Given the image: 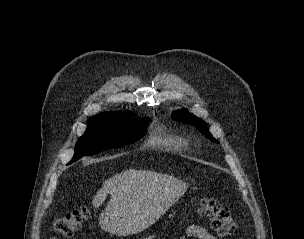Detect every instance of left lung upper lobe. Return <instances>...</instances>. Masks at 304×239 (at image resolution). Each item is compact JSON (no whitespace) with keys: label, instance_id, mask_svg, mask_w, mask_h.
<instances>
[{"label":"left lung upper lobe","instance_id":"left-lung-upper-lobe-1","mask_svg":"<svg viewBox=\"0 0 304 239\" xmlns=\"http://www.w3.org/2000/svg\"><path fill=\"white\" fill-rule=\"evenodd\" d=\"M172 118L178 122L187 123L196 126V128L202 134H204L210 140L218 143V141H216L208 131L206 124L200 118L196 117L193 114H190L186 109L174 111L172 113Z\"/></svg>","mask_w":304,"mask_h":239}]
</instances>
